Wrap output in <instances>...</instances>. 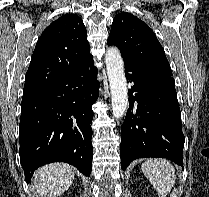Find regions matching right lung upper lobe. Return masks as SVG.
<instances>
[{"mask_svg": "<svg viewBox=\"0 0 209 197\" xmlns=\"http://www.w3.org/2000/svg\"><path fill=\"white\" fill-rule=\"evenodd\" d=\"M92 58L80 17L66 14L41 34L26 73L24 91L57 80Z\"/></svg>", "mask_w": 209, "mask_h": 197, "instance_id": "obj_1", "label": "right lung upper lobe"}]
</instances>
